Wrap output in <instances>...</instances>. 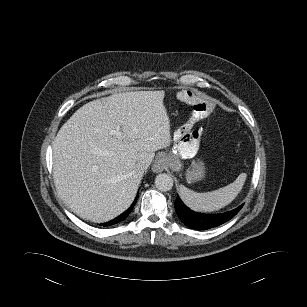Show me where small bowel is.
Here are the masks:
<instances>
[{
    "mask_svg": "<svg viewBox=\"0 0 307 307\" xmlns=\"http://www.w3.org/2000/svg\"><path fill=\"white\" fill-rule=\"evenodd\" d=\"M214 110L213 105L207 101L196 102L192 108L188 121L174 128V135L177 138H184L187 134L195 131V123L209 116Z\"/></svg>",
    "mask_w": 307,
    "mask_h": 307,
    "instance_id": "obj_1",
    "label": "small bowel"
}]
</instances>
